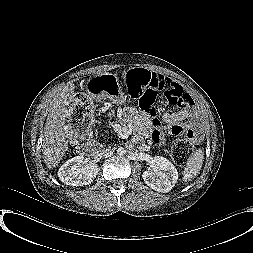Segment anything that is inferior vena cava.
<instances>
[{"label":"inferior vena cava","mask_w":253,"mask_h":253,"mask_svg":"<svg viewBox=\"0 0 253 253\" xmlns=\"http://www.w3.org/2000/svg\"><path fill=\"white\" fill-rule=\"evenodd\" d=\"M112 153H113V151H107V152H105L104 153V155L107 157V158H110L111 156H112Z\"/></svg>","instance_id":"obj_1"}]
</instances>
